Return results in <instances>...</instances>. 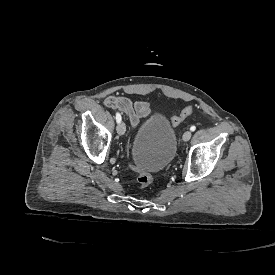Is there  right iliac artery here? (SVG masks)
<instances>
[{
  "mask_svg": "<svg viewBox=\"0 0 275 275\" xmlns=\"http://www.w3.org/2000/svg\"><path fill=\"white\" fill-rule=\"evenodd\" d=\"M116 121L117 123L121 122V115L119 113H116Z\"/></svg>",
  "mask_w": 275,
  "mask_h": 275,
  "instance_id": "right-iliac-artery-1",
  "label": "right iliac artery"
}]
</instances>
